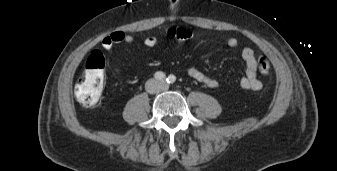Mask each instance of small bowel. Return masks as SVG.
<instances>
[{
	"instance_id": "obj_1",
	"label": "small bowel",
	"mask_w": 337,
	"mask_h": 171,
	"mask_svg": "<svg viewBox=\"0 0 337 171\" xmlns=\"http://www.w3.org/2000/svg\"><path fill=\"white\" fill-rule=\"evenodd\" d=\"M134 40L132 34L123 31H114L101 40V45L105 50L112 51L115 45L120 43L131 44ZM143 44L148 48H153L158 45V39L155 36H148L144 38ZM238 44L239 41L235 37H230L227 40V45L229 47L234 48L237 47ZM241 56L245 61V74L240 79V86L245 90H260L262 88V82L257 76V64L254 50L250 47H244ZM114 71L118 72V69L114 68ZM187 74L193 80L198 81L211 89H215L219 86V82L215 78L207 75L196 67H190L187 70Z\"/></svg>"
}]
</instances>
